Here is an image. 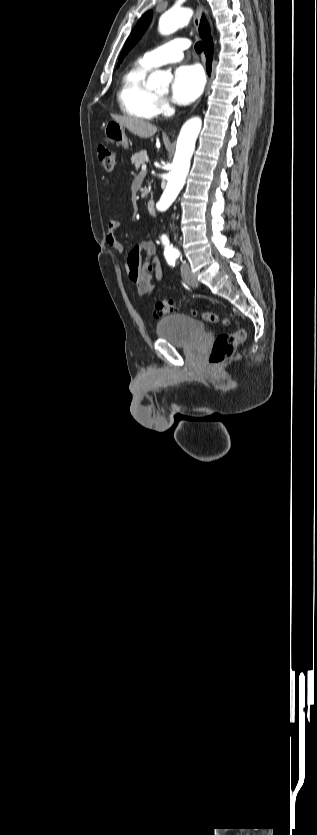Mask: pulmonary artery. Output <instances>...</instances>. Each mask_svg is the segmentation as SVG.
I'll return each instance as SVG.
<instances>
[{
  "label": "pulmonary artery",
  "mask_w": 317,
  "mask_h": 835,
  "mask_svg": "<svg viewBox=\"0 0 317 835\" xmlns=\"http://www.w3.org/2000/svg\"><path fill=\"white\" fill-rule=\"evenodd\" d=\"M189 46L190 43L187 39L176 38L146 52L141 59L150 67H156L168 62L180 61L183 58V51Z\"/></svg>",
  "instance_id": "pulmonary-artery-1"
}]
</instances>
